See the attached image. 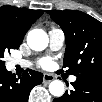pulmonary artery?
I'll return each mask as SVG.
<instances>
[{
  "instance_id": "pulmonary-artery-1",
  "label": "pulmonary artery",
  "mask_w": 102,
  "mask_h": 102,
  "mask_svg": "<svg viewBox=\"0 0 102 102\" xmlns=\"http://www.w3.org/2000/svg\"><path fill=\"white\" fill-rule=\"evenodd\" d=\"M65 42V36L61 29L52 27L49 31V44L50 48L54 51L60 50ZM74 80V77H72Z\"/></svg>"
}]
</instances>
